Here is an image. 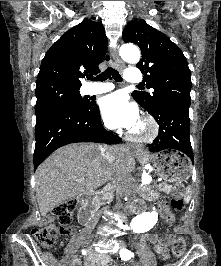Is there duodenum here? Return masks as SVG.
Listing matches in <instances>:
<instances>
[{
    "instance_id": "1",
    "label": "duodenum",
    "mask_w": 221,
    "mask_h": 266,
    "mask_svg": "<svg viewBox=\"0 0 221 266\" xmlns=\"http://www.w3.org/2000/svg\"><path fill=\"white\" fill-rule=\"evenodd\" d=\"M95 196L90 194H82L78 197V201L80 203V209L78 213V219L80 224L88 225L92 219L94 213V203ZM140 210V206L136 205L133 207V211Z\"/></svg>"
}]
</instances>
